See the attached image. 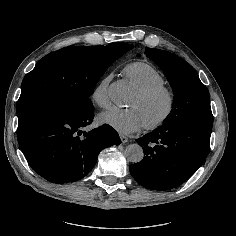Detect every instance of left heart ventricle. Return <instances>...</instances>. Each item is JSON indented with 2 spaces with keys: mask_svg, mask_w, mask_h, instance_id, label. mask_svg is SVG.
Instances as JSON below:
<instances>
[{
  "mask_svg": "<svg viewBox=\"0 0 236 236\" xmlns=\"http://www.w3.org/2000/svg\"><path fill=\"white\" fill-rule=\"evenodd\" d=\"M130 106L137 108L143 117L144 123L148 124L158 120L164 114L167 102L162 96L150 102H142L137 95H135Z\"/></svg>",
  "mask_w": 236,
  "mask_h": 236,
  "instance_id": "b2bd125f",
  "label": "left heart ventricle"
}]
</instances>
